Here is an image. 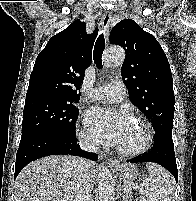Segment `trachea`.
Segmentation results:
<instances>
[{"mask_svg":"<svg viewBox=\"0 0 196 201\" xmlns=\"http://www.w3.org/2000/svg\"><path fill=\"white\" fill-rule=\"evenodd\" d=\"M105 49V39L103 34H100L96 40L94 51H93V59L94 63L98 68L102 67V55Z\"/></svg>","mask_w":196,"mask_h":201,"instance_id":"trachea-1","label":"trachea"}]
</instances>
